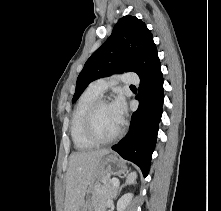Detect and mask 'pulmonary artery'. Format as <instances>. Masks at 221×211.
<instances>
[{
	"label": "pulmonary artery",
	"mask_w": 221,
	"mask_h": 211,
	"mask_svg": "<svg viewBox=\"0 0 221 211\" xmlns=\"http://www.w3.org/2000/svg\"><path fill=\"white\" fill-rule=\"evenodd\" d=\"M120 82L125 84L135 85L139 83V78L133 72H126L122 74H117L97 79L91 84V87L94 88L96 91L103 93L109 87L114 86Z\"/></svg>",
	"instance_id": "e3ab8cb5"
}]
</instances>
